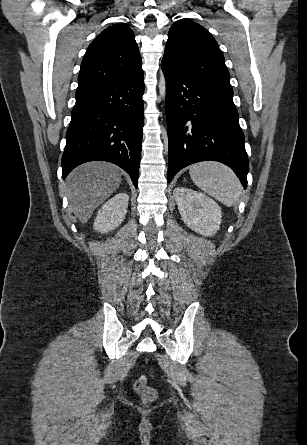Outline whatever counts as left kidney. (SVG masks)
<instances>
[{"label":"left kidney","mask_w":307,"mask_h":445,"mask_svg":"<svg viewBox=\"0 0 307 445\" xmlns=\"http://www.w3.org/2000/svg\"><path fill=\"white\" fill-rule=\"evenodd\" d=\"M173 194L186 227L203 237H214L221 223L219 204L206 194L184 186H176Z\"/></svg>","instance_id":"obj_1"}]
</instances>
